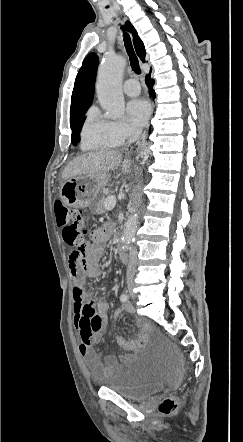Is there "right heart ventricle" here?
Segmentation results:
<instances>
[{"label": "right heart ventricle", "instance_id": "right-heart-ventricle-1", "mask_svg": "<svg viewBox=\"0 0 243 442\" xmlns=\"http://www.w3.org/2000/svg\"><path fill=\"white\" fill-rule=\"evenodd\" d=\"M118 143L109 131L108 121L97 109H89L81 129V148L85 151L103 149L114 147Z\"/></svg>", "mask_w": 243, "mask_h": 442}]
</instances>
